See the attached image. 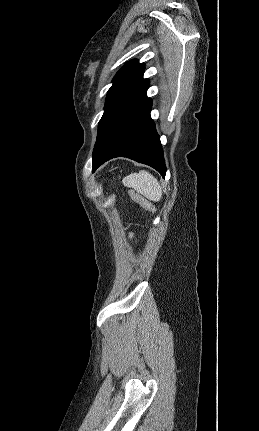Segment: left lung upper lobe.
I'll return each instance as SVG.
<instances>
[{
    "label": "left lung upper lobe",
    "instance_id": "obj_1",
    "mask_svg": "<svg viewBox=\"0 0 259 431\" xmlns=\"http://www.w3.org/2000/svg\"><path fill=\"white\" fill-rule=\"evenodd\" d=\"M144 63L132 60L125 64L112 80L104 113L99 121L93 155L104 143L117 124L134 108L147 99L149 80L143 78Z\"/></svg>",
    "mask_w": 259,
    "mask_h": 431
}]
</instances>
